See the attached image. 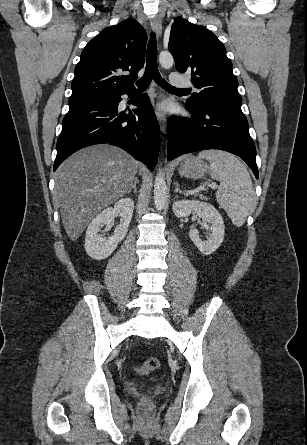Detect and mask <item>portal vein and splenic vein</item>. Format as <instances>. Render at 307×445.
<instances>
[{"label": "portal vein and splenic vein", "mask_w": 307, "mask_h": 445, "mask_svg": "<svg viewBox=\"0 0 307 445\" xmlns=\"http://www.w3.org/2000/svg\"><path fill=\"white\" fill-rule=\"evenodd\" d=\"M211 188H216V186H218V184H216V182H212V184H210ZM197 190H205V186H199V188H197Z\"/></svg>", "instance_id": "18ae733b"}]
</instances>
